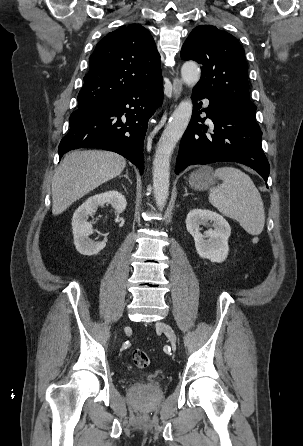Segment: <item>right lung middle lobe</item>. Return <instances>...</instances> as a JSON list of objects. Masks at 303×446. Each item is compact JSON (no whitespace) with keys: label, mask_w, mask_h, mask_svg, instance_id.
<instances>
[{"label":"right lung middle lobe","mask_w":303,"mask_h":446,"mask_svg":"<svg viewBox=\"0 0 303 446\" xmlns=\"http://www.w3.org/2000/svg\"><path fill=\"white\" fill-rule=\"evenodd\" d=\"M78 106H81V102H80V100L78 99Z\"/></svg>","instance_id":"obj_1"}]
</instances>
